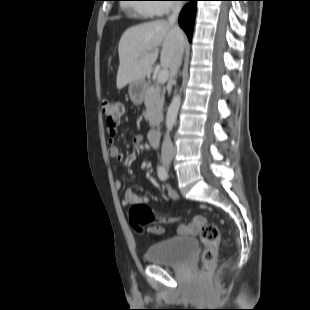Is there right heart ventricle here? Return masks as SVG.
<instances>
[{"mask_svg":"<svg viewBox=\"0 0 310 310\" xmlns=\"http://www.w3.org/2000/svg\"><path fill=\"white\" fill-rule=\"evenodd\" d=\"M153 4H145V5H139L137 7L138 13L143 15L146 18H150L156 15L155 10L151 7Z\"/></svg>","mask_w":310,"mask_h":310,"instance_id":"1","label":"right heart ventricle"}]
</instances>
